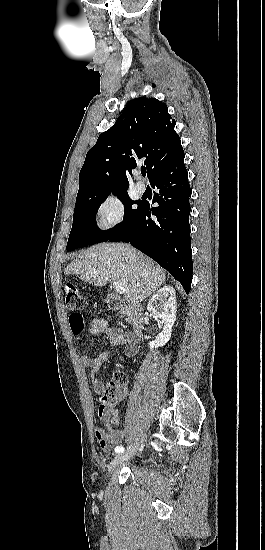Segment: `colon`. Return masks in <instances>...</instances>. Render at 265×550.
<instances>
[{
	"instance_id": "5ec220e1",
	"label": "colon",
	"mask_w": 265,
	"mask_h": 550,
	"mask_svg": "<svg viewBox=\"0 0 265 550\" xmlns=\"http://www.w3.org/2000/svg\"><path fill=\"white\" fill-rule=\"evenodd\" d=\"M65 302L71 314L69 316L70 325L75 335L84 330L85 321L81 311L85 308L86 298L82 291L73 283L64 284ZM127 381L124 372L116 371L113 374V380L106 386L100 400V409L106 414L107 418L112 417L116 421L115 407L124 396L123 385Z\"/></svg>"
}]
</instances>
